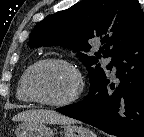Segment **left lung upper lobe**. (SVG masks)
Listing matches in <instances>:
<instances>
[{
	"label": "left lung upper lobe",
	"mask_w": 144,
	"mask_h": 137,
	"mask_svg": "<svg viewBox=\"0 0 144 137\" xmlns=\"http://www.w3.org/2000/svg\"><path fill=\"white\" fill-rule=\"evenodd\" d=\"M143 25L144 12L137 0H82L39 22L30 34L29 46L58 45L77 52L87 67L91 90L106 77L99 59L112 56L113 60ZM92 39L100 40L102 47L100 53L88 56L83 52L90 51Z\"/></svg>",
	"instance_id": "1"
}]
</instances>
